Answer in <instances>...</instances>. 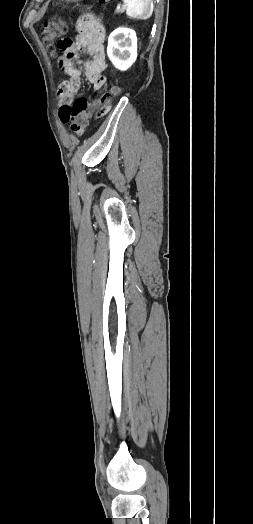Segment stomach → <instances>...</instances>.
I'll use <instances>...</instances> for the list:
<instances>
[{
    "instance_id": "0dacf381",
    "label": "stomach",
    "mask_w": 253,
    "mask_h": 524,
    "mask_svg": "<svg viewBox=\"0 0 253 524\" xmlns=\"http://www.w3.org/2000/svg\"><path fill=\"white\" fill-rule=\"evenodd\" d=\"M65 1H68V2H75V1H79V0H65Z\"/></svg>"
}]
</instances>
